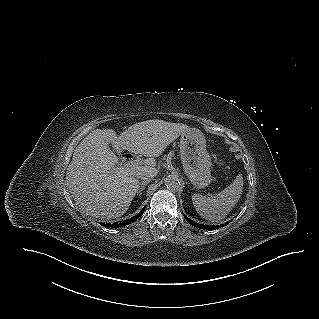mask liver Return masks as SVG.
<instances>
[{"label":"liver","instance_id":"liver-1","mask_svg":"<svg viewBox=\"0 0 319 319\" xmlns=\"http://www.w3.org/2000/svg\"><path fill=\"white\" fill-rule=\"evenodd\" d=\"M191 128L159 119L136 123L120 136L113 129H95L76 147L67 168L66 182L76 204L89 216L109 220L129 208L139 185L141 170L154 169V157ZM117 153L127 150L149 158L144 165H118Z\"/></svg>","mask_w":319,"mask_h":319}]
</instances>
